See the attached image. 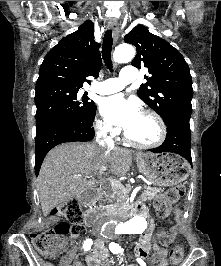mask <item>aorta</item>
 I'll return each mask as SVG.
<instances>
[{
    "label": "aorta",
    "mask_w": 221,
    "mask_h": 266,
    "mask_svg": "<svg viewBox=\"0 0 221 266\" xmlns=\"http://www.w3.org/2000/svg\"><path fill=\"white\" fill-rule=\"evenodd\" d=\"M135 56V49L132 45L122 44L119 45L113 54L114 61L117 63H124L131 61ZM146 229V221L140 216L132 217L126 222L120 224L117 232L124 234H141ZM113 231V228L110 229Z\"/></svg>",
    "instance_id": "762f6f07"
}]
</instances>
